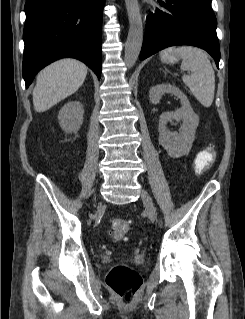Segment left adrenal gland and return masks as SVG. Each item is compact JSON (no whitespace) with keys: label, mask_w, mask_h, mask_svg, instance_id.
Masks as SVG:
<instances>
[{"label":"left adrenal gland","mask_w":245,"mask_h":319,"mask_svg":"<svg viewBox=\"0 0 245 319\" xmlns=\"http://www.w3.org/2000/svg\"><path fill=\"white\" fill-rule=\"evenodd\" d=\"M163 72L166 73V72H168V70L165 68V69L163 70Z\"/></svg>","instance_id":"a2214340"}]
</instances>
